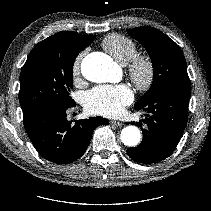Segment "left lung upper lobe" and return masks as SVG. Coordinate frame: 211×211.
I'll list each match as a JSON object with an SVG mask.
<instances>
[{
  "instance_id": "obj_1",
  "label": "left lung upper lobe",
  "mask_w": 211,
  "mask_h": 211,
  "mask_svg": "<svg viewBox=\"0 0 211 211\" xmlns=\"http://www.w3.org/2000/svg\"><path fill=\"white\" fill-rule=\"evenodd\" d=\"M148 51L153 64L151 88L135 104H142L155 97L168 87L190 85L187 65L180 47L161 31L142 26L128 31Z\"/></svg>"
}]
</instances>
